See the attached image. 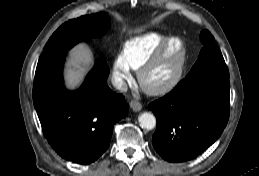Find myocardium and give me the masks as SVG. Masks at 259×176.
I'll use <instances>...</instances> for the list:
<instances>
[{
    "instance_id": "f54148a6",
    "label": "myocardium",
    "mask_w": 259,
    "mask_h": 176,
    "mask_svg": "<svg viewBox=\"0 0 259 176\" xmlns=\"http://www.w3.org/2000/svg\"><path fill=\"white\" fill-rule=\"evenodd\" d=\"M176 42L177 58L172 75L165 81L157 84L149 82L148 75L152 69L163 59L171 43ZM187 46L179 36L167 37L152 56L139 68L138 81L141 88L150 95H162L171 91L180 81L186 63Z\"/></svg>"
}]
</instances>
